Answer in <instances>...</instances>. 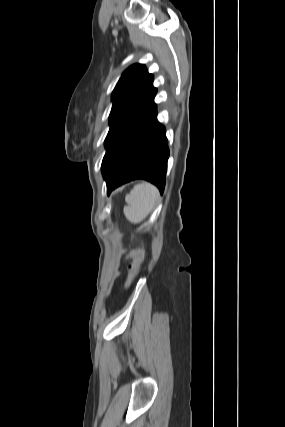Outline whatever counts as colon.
Here are the masks:
<instances>
[{
    "mask_svg": "<svg viewBox=\"0 0 285 427\" xmlns=\"http://www.w3.org/2000/svg\"><path fill=\"white\" fill-rule=\"evenodd\" d=\"M129 258L131 259V262L127 268V278L124 284V290L131 286L133 280L140 271L141 265L145 260L144 249L140 247L132 249L129 253Z\"/></svg>",
    "mask_w": 285,
    "mask_h": 427,
    "instance_id": "colon-1",
    "label": "colon"
}]
</instances>
